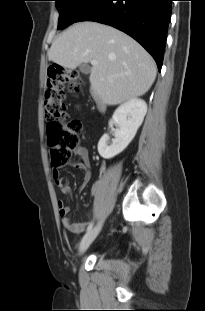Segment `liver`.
<instances>
[{"instance_id": "liver-1", "label": "liver", "mask_w": 205, "mask_h": 311, "mask_svg": "<svg viewBox=\"0 0 205 311\" xmlns=\"http://www.w3.org/2000/svg\"><path fill=\"white\" fill-rule=\"evenodd\" d=\"M50 61L69 69L98 61L91 68V89L107 105L144 95L156 78V63L133 38L93 21L75 23L52 43Z\"/></svg>"}]
</instances>
